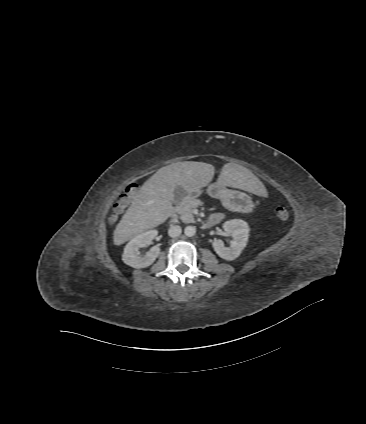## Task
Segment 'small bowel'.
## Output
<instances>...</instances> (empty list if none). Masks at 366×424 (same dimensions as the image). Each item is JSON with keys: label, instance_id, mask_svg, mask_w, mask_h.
I'll use <instances>...</instances> for the list:
<instances>
[{"label": "small bowel", "instance_id": "1", "mask_svg": "<svg viewBox=\"0 0 366 424\" xmlns=\"http://www.w3.org/2000/svg\"><path fill=\"white\" fill-rule=\"evenodd\" d=\"M223 218V214L220 212H216L211 216V220L215 221V223H218Z\"/></svg>", "mask_w": 366, "mask_h": 424}]
</instances>
